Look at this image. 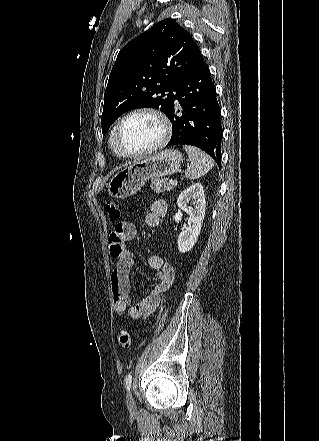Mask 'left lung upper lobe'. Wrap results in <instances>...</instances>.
<instances>
[{
	"label": "left lung upper lobe",
	"instance_id": "left-lung-upper-lobe-1",
	"mask_svg": "<svg viewBox=\"0 0 319 441\" xmlns=\"http://www.w3.org/2000/svg\"><path fill=\"white\" fill-rule=\"evenodd\" d=\"M200 57L190 33L172 19L160 21L127 43L105 90L103 134L120 115L135 108H157L169 117L173 92Z\"/></svg>",
	"mask_w": 319,
	"mask_h": 441
}]
</instances>
